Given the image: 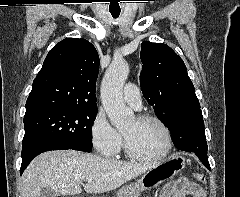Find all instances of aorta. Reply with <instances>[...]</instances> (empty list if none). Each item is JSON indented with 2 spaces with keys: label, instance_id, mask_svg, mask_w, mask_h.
Wrapping results in <instances>:
<instances>
[{
  "label": "aorta",
  "instance_id": "762f6f07",
  "mask_svg": "<svg viewBox=\"0 0 240 197\" xmlns=\"http://www.w3.org/2000/svg\"><path fill=\"white\" fill-rule=\"evenodd\" d=\"M129 74V66L124 60L112 61L101 84V100L111 124L122 129L134 118L133 111L123 100V85Z\"/></svg>",
  "mask_w": 240,
  "mask_h": 197
}]
</instances>
